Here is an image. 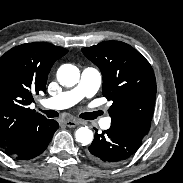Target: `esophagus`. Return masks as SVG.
Wrapping results in <instances>:
<instances>
[{
	"mask_svg": "<svg viewBox=\"0 0 183 183\" xmlns=\"http://www.w3.org/2000/svg\"><path fill=\"white\" fill-rule=\"evenodd\" d=\"M80 123H82V121L80 120H76V119H68V120H65L64 121V124L67 126V127H76L77 125H79Z\"/></svg>",
	"mask_w": 183,
	"mask_h": 183,
	"instance_id": "1",
	"label": "esophagus"
}]
</instances>
